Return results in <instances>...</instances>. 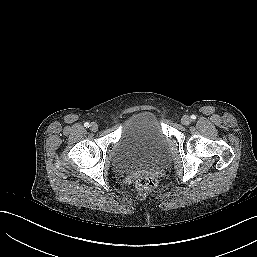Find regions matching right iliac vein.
<instances>
[{
	"mask_svg": "<svg viewBox=\"0 0 257 257\" xmlns=\"http://www.w3.org/2000/svg\"><path fill=\"white\" fill-rule=\"evenodd\" d=\"M90 129L93 131V132H96L98 130V124L96 122H92L90 124Z\"/></svg>",
	"mask_w": 257,
	"mask_h": 257,
	"instance_id": "63e3f726",
	"label": "right iliac vein"
}]
</instances>
